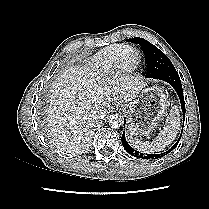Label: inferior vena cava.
<instances>
[{
    "instance_id": "1",
    "label": "inferior vena cava",
    "mask_w": 209,
    "mask_h": 209,
    "mask_svg": "<svg viewBox=\"0 0 209 209\" xmlns=\"http://www.w3.org/2000/svg\"><path fill=\"white\" fill-rule=\"evenodd\" d=\"M94 114L97 116V117H100L102 115V109L101 108H95L94 109Z\"/></svg>"
}]
</instances>
